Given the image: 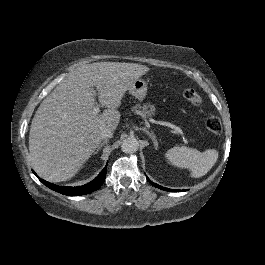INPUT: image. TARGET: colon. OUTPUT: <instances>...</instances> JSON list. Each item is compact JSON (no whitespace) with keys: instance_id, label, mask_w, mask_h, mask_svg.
<instances>
[{"instance_id":"obj_1","label":"colon","mask_w":265,"mask_h":265,"mask_svg":"<svg viewBox=\"0 0 265 265\" xmlns=\"http://www.w3.org/2000/svg\"><path fill=\"white\" fill-rule=\"evenodd\" d=\"M183 97L194 106H199L201 104V96L192 88L184 89ZM206 127L214 134L220 133L222 130V124L219 117L216 115H210L206 120Z\"/></svg>"}]
</instances>
